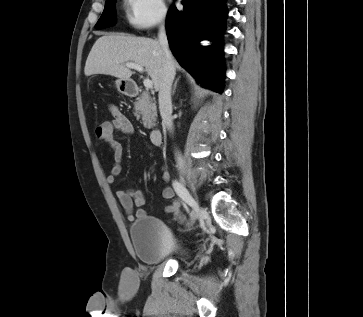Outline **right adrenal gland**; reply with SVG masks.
<instances>
[{
  "label": "right adrenal gland",
  "instance_id": "1",
  "mask_svg": "<svg viewBox=\"0 0 363 317\" xmlns=\"http://www.w3.org/2000/svg\"><path fill=\"white\" fill-rule=\"evenodd\" d=\"M178 81H179V78H177V79L175 80V83H174V86H173V95H174V93H175V90H176V87H177V83H178Z\"/></svg>",
  "mask_w": 363,
  "mask_h": 317
}]
</instances>
